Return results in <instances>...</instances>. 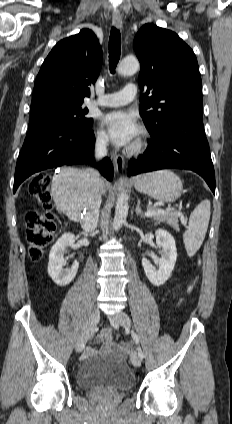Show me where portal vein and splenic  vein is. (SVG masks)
I'll use <instances>...</instances> for the list:
<instances>
[{
    "mask_svg": "<svg viewBox=\"0 0 232 424\" xmlns=\"http://www.w3.org/2000/svg\"><path fill=\"white\" fill-rule=\"evenodd\" d=\"M172 210H175L174 208H167L166 209V211H172ZM166 211H164V210H162V209H158L157 211H153V210H147L146 211V213H145V215L147 216V217H151V216H153V215H155V214H162V213H165ZM180 216H181V219H182V223L184 224V225H186V221L184 220V218H183V216L180 214Z\"/></svg>",
    "mask_w": 232,
    "mask_h": 424,
    "instance_id": "1",
    "label": "portal vein and splenic vein"
}]
</instances>
